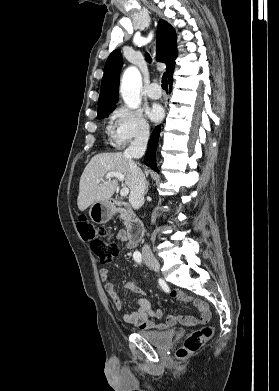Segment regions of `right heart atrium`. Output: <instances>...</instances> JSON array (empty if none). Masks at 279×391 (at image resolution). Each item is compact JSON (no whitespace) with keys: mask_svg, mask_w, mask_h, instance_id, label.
Instances as JSON below:
<instances>
[{"mask_svg":"<svg viewBox=\"0 0 279 391\" xmlns=\"http://www.w3.org/2000/svg\"><path fill=\"white\" fill-rule=\"evenodd\" d=\"M150 126L142 111L120 105L112 112L111 139L116 148H122L132 141L146 140Z\"/></svg>","mask_w":279,"mask_h":391,"instance_id":"right-heart-atrium-1","label":"right heart atrium"}]
</instances>
